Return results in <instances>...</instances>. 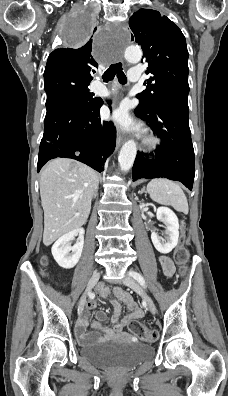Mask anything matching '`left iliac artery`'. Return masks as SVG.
Segmentation results:
<instances>
[{"label":"left iliac artery","mask_w":228,"mask_h":396,"mask_svg":"<svg viewBox=\"0 0 228 396\" xmlns=\"http://www.w3.org/2000/svg\"><path fill=\"white\" fill-rule=\"evenodd\" d=\"M130 275H131L135 280H137V282L140 283L144 288L147 287L146 281H145L144 277H143L140 273H138V272H130Z\"/></svg>","instance_id":"44dca946"}]
</instances>
